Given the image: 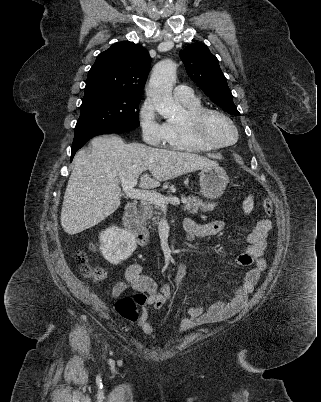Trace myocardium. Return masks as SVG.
Here are the masks:
<instances>
[{"label": "myocardium", "instance_id": "f54148a6", "mask_svg": "<svg viewBox=\"0 0 321 402\" xmlns=\"http://www.w3.org/2000/svg\"><path fill=\"white\" fill-rule=\"evenodd\" d=\"M219 116L224 119L234 131L231 142L219 143L212 140L205 132V124L210 116ZM188 126L195 139L209 149H223L234 145L239 138V131L234 121L223 111L214 108H203L188 117Z\"/></svg>", "mask_w": 321, "mask_h": 402}]
</instances>
